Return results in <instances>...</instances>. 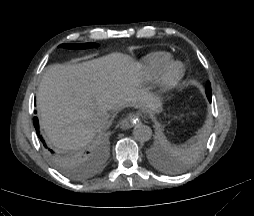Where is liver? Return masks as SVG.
<instances>
[{
	"label": "liver",
	"instance_id": "liver-1",
	"mask_svg": "<svg viewBox=\"0 0 254 216\" xmlns=\"http://www.w3.org/2000/svg\"><path fill=\"white\" fill-rule=\"evenodd\" d=\"M138 69L121 53L49 66L37 91L40 123L49 142L62 151L77 150L99 132L91 124L96 113L145 103Z\"/></svg>",
	"mask_w": 254,
	"mask_h": 216
}]
</instances>
